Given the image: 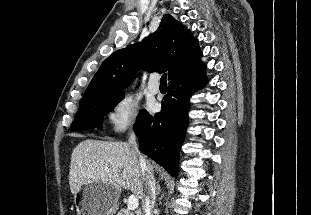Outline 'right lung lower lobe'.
<instances>
[{"instance_id": "right-lung-lower-lobe-1", "label": "right lung lower lobe", "mask_w": 311, "mask_h": 215, "mask_svg": "<svg viewBox=\"0 0 311 215\" xmlns=\"http://www.w3.org/2000/svg\"><path fill=\"white\" fill-rule=\"evenodd\" d=\"M207 80L205 64L172 78L161 112H145L134 124L139 149L163 166L172 176L178 173L179 150L188 125L189 98Z\"/></svg>"}]
</instances>
